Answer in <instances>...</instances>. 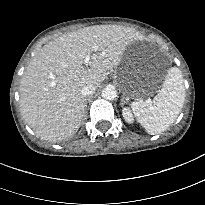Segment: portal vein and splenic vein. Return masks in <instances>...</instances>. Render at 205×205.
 <instances>
[{
    "instance_id": "18ae733b",
    "label": "portal vein and splenic vein",
    "mask_w": 205,
    "mask_h": 205,
    "mask_svg": "<svg viewBox=\"0 0 205 205\" xmlns=\"http://www.w3.org/2000/svg\"><path fill=\"white\" fill-rule=\"evenodd\" d=\"M89 60H90V56L89 55H87L86 57H85V59H84V64L87 66L88 65V63H89ZM150 102V101H149Z\"/></svg>"
}]
</instances>
